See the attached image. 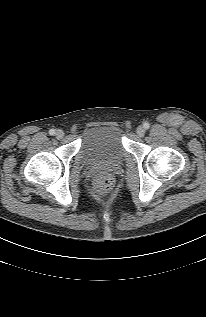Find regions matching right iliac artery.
<instances>
[{
	"label": "right iliac artery",
	"instance_id": "obj_1",
	"mask_svg": "<svg viewBox=\"0 0 206 317\" xmlns=\"http://www.w3.org/2000/svg\"><path fill=\"white\" fill-rule=\"evenodd\" d=\"M49 134H50V135H54V134H55V130H54V129H51V130L49 131Z\"/></svg>",
	"mask_w": 206,
	"mask_h": 317
}]
</instances>
